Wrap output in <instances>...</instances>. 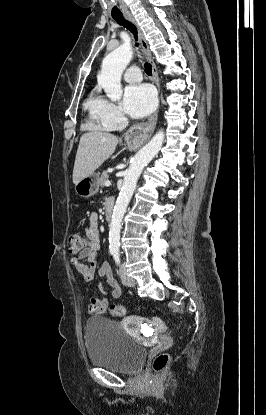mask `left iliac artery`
<instances>
[{"instance_id":"obj_1","label":"left iliac artery","mask_w":266,"mask_h":415,"mask_svg":"<svg viewBox=\"0 0 266 415\" xmlns=\"http://www.w3.org/2000/svg\"><path fill=\"white\" fill-rule=\"evenodd\" d=\"M113 255H114V260H115V262H116L117 264H119V263H120V253H119L118 251H115V252L113 253Z\"/></svg>"}]
</instances>
